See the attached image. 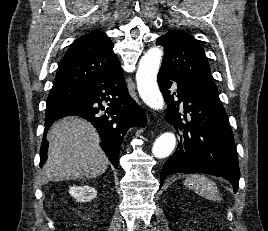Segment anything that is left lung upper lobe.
Masks as SVG:
<instances>
[{
    "label": "left lung upper lobe",
    "mask_w": 268,
    "mask_h": 231,
    "mask_svg": "<svg viewBox=\"0 0 268 231\" xmlns=\"http://www.w3.org/2000/svg\"><path fill=\"white\" fill-rule=\"evenodd\" d=\"M164 47L161 70H166L200 88L221 104L203 48L192 35L172 30L157 39Z\"/></svg>",
    "instance_id": "left-lung-upper-lobe-1"
}]
</instances>
